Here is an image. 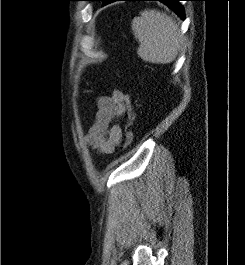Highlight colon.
Returning <instances> with one entry per match:
<instances>
[{
  "mask_svg": "<svg viewBox=\"0 0 245 265\" xmlns=\"http://www.w3.org/2000/svg\"><path fill=\"white\" fill-rule=\"evenodd\" d=\"M124 103L126 104L128 111H129V117H128V124L124 129V148H128L131 146L134 140V134L133 132L129 129V125L132 122L134 118V113L132 109V99L130 95L124 94Z\"/></svg>",
  "mask_w": 245,
  "mask_h": 265,
  "instance_id": "obj_1",
  "label": "colon"
}]
</instances>
